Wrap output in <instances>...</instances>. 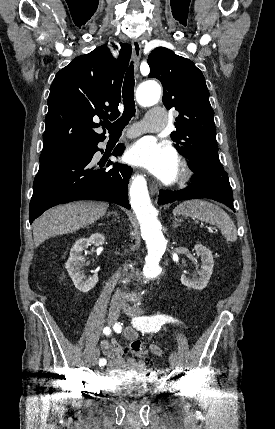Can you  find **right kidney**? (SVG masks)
Returning <instances> with one entry per match:
<instances>
[{
    "mask_svg": "<svg viewBox=\"0 0 275 429\" xmlns=\"http://www.w3.org/2000/svg\"><path fill=\"white\" fill-rule=\"evenodd\" d=\"M104 242L105 237L100 233H95L89 238H81L77 240L70 250V257L67 260L65 267L75 287L82 293L90 291L98 282V275L96 272L89 278H85L84 274L80 271L84 262L82 252L91 244L100 246L103 245Z\"/></svg>",
    "mask_w": 275,
    "mask_h": 429,
    "instance_id": "obj_1",
    "label": "right kidney"
}]
</instances>
